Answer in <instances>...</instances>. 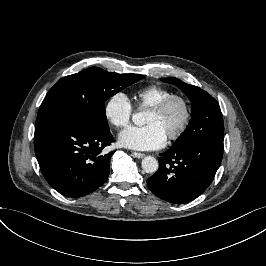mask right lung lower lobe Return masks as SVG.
<instances>
[{"instance_id":"1","label":"right lung lower lobe","mask_w":266,"mask_h":266,"mask_svg":"<svg viewBox=\"0 0 266 266\" xmlns=\"http://www.w3.org/2000/svg\"><path fill=\"white\" fill-rule=\"evenodd\" d=\"M112 142L109 130L97 131L67 116L35 125L34 148L43 176L56 191L72 198L106 181L112 153L103 149Z\"/></svg>"}]
</instances>
